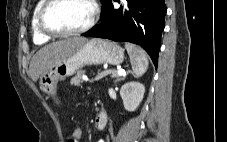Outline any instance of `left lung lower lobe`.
Segmentation results:
<instances>
[{
  "label": "left lung lower lobe",
  "instance_id": "obj_1",
  "mask_svg": "<svg viewBox=\"0 0 227 142\" xmlns=\"http://www.w3.org/2000/svg\"><path fill=\"white\" fill-rule=\"evenodd\" d=\"M114 1L121 4L120 8L115 9L110 1L101 12L102 22L83 35L139 44L157 67L167 12L165 0Z\"/></svg>",
  "mask_w": 227,
  "mask_h": 142
}]
</instances>
